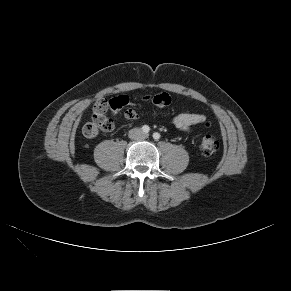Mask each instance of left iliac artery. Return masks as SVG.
Here are the masks:
<instances>
[{
	"label": "left iliac artery",
	"instance_id": "left-iliac-artery-1",
	"mask_svg": "<svg viewBox=\"0 0 291 291\" xmlns=\"http://www.w3.org/2000/svg\"><path fill=\"white\" fill-rule=\"evenodd\" d=\"M153 138L155 140H159L160 139V134L158 132L153 133Z\"/></svg>",
	"mask_w": 291,
	"mask_h": 291
}]
</instances>
